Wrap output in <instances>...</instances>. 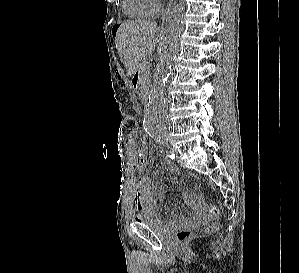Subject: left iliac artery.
<instances>
[{"mask_svg": "<svg viewBox=\"0 0 299 273\" xmlns=\"http://www.w3.org/2000/svg\"><path fill=\"white\" fill-rule=\"evenodd\" d=\"M165 142H166L165 140H161V141H160L161 144H164ZM167 153H168V156H169L171 159H174V158H175V154H174L171 150H169Z\"/></svg>", "mask_w": 299, "mask_h": 273, "instance_id": "left-iliac-artery-1", "label": "left iliac artery"}]
</instances>
